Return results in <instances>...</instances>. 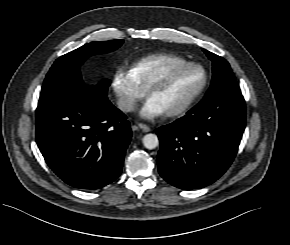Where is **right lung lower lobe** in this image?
<instances>
[{
    "label": "right lung lower lobe",
    "mask_w": 290,
    "mask_h": 245,
    "mask_svg": "<svg viewBox=\"0 0 290 245\" xmlns=\"http://www.w3.org/2000/svg\"><path fill=\"white\" fill-rule=\"evenodd\" d=\"M36 141L49 167L67 184L99 189L121 173L131 129L106 95L90 87L39 102Z\"/></svg>",
    "instance_id": "obj_1"
}]
</instances>
